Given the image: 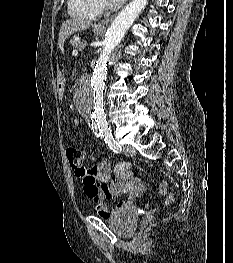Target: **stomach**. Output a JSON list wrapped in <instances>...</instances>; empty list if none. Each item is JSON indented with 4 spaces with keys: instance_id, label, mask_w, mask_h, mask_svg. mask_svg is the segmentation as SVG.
I'll list each match as a JSON object with an SVG mask.
<instances>
[{
    "instance_id": "obj_1",
    "label": "stomach",
    "mask_w": 233,
    "mask_h": 263,
    "mask_svg": "<svg viewBox=\"0 0 233 263\" xmlns=\"http://www.w3.org/2000/svg\"><path fill=\"white\" fill-rule=\"evenodd\" d=\"M93 32L96 34V35H100L102 33V30L101 29H98V28H94L93 29ZM54 81L57 82V90L58 91H65L66 88L69 87V84L66 83L65 81V78L64 77H55L54 78Z\"/></svg>"
}]
</instances>
